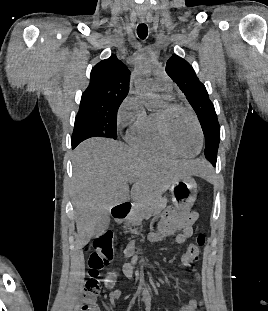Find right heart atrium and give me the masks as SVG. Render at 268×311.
<instances>
[{"mask_svg": "<svg viewBox=\"0 0 268 311\" xmlns=\"http://www.w3.org/2000/svg\"><path fill=\"white\" fill-rule=\"evenodd\" d=\"M145 112L141 101L136 96L127 97L119 108L117 122L120 127L134 124L144 116Z\"/></svg>", "mask_w": 268, "mask_h": 311, "instance_id": "right-heart-atrium-1", "label": "right heart atrium"}]
</instances>
